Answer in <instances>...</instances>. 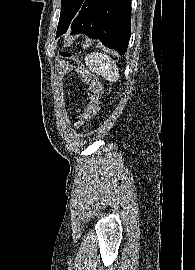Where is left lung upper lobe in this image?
Returning <instances> with one entry per match:
<instances>
[{
  "label": "left lung upper lobe",
  "instance_id": "obj_1",
  "mask_svg": "<svg viewBox=\"0 0 195 270\" xmlns=\"http://www.w3.org/2000/svg\"><path fill=\"white\" fill-rule=\"evenodd\" d=\"M85 0H62L60 19L57 34L66 29L79 12Z\"/></svg>",
  "mask_w": 195,
  "mask_h": 270
}]
</instances>
